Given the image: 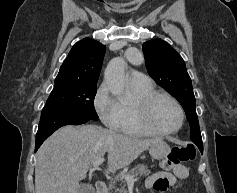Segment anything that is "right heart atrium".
Here are the masks:
<instances>
[{"label": "right heart atrium", "instance_id": "1", "mask_svg": "<svg viewBox=\"0 0 237 193\" xmlns=\"http://www.w3.org/2000/svg\"><path fill=\"white\" fill-rule=\"evenodd\" d=\"M93 104L100 120L110 129L119 131L122 122V104L111 93L105 82L98 87Z\"/></svg>", "mask_w": 237, "mask_h": 193}]
</instances>
